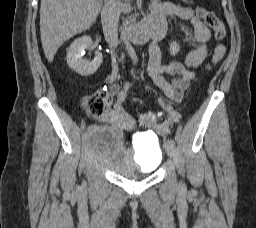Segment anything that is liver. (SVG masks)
<instances>
[{
    "label": "liver",
    "instance_id": "liver-1",
    "mask_svg": "<svg viewBox=\"0 0 256 228\" xmlns=\"http://www.w3.org/2000/svg\"><path fill=\"white\" fill-rule=\"evenodd\" d=\"M102 4V0H41L40 35L49 62L65 41L95 22Z\"/></svg>",
    "mask_w": 256,
    "mask_h": 228
}]
</instances>
